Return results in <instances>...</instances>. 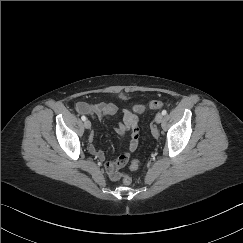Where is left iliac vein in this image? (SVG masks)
Instances as JSON below:
<instances>
[{
	"mask_svg": "<svg viewBox=\"0 0 243 243\" xmlns=\"http://www.w3.org/2000/svg\"><path fill=\"white\" fill-rule=\"evenodd\" d=\"M163 120V115L161 113H157L156 116H155V122L156 123H161ZM154 135H156V133H154Z\"/></svg>",
	"mask_w": 243,
	"mask_h": 243,
	"instance_id": "1",
	"label": "left iliac vein"
}]
</instances>
